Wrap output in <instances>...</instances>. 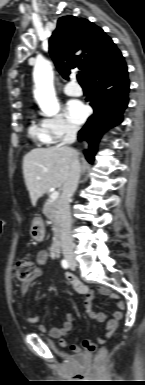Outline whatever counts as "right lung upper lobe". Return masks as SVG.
Instances as JSON below:
<instances>
[{"label": "right lung upper lobe", "instance_id": "obj_1", "mask_svg": "<svg viewBox=\"0 0 145 385\" xmlns=\"http://www.w3.org/2000/svg\"><path fill=\"white\" fill-rule=\"evenodd\" d=\"M49 52L64 78L76 68L87 83L124 62L121 52L100 27L74 16L58 20L49 40Z\"/></svg>", "mask_w": 145, "mask_h": 385}]
</instances>
